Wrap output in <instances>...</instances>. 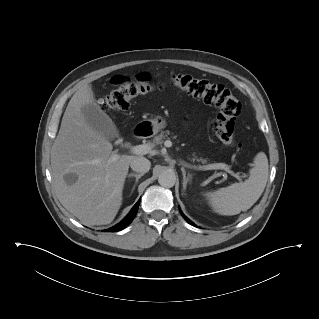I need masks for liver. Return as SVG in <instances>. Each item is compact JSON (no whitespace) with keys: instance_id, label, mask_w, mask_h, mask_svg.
I'll return each instance as SVG.
<instances>
[{"instance_id":"1","label":"liver","mask_w":319,"mask_h":319,"mask_svg":"<svg viewBox=\"0 0 319 319\" xmlns=\"http://www.w3.org/2000/svg\"><path fill=\"white\" fill-rule=\"evenodd\" d=\"M89 84L71 98L59 133L51 148L54 191L60 203L83 224L111 223L122 204V191L129 165L136 156L118 155L111 161L112 144L88 125L82 108L94 102ZM77 179L67 184L64 177Z\"/></svg>"}]
</instances>
